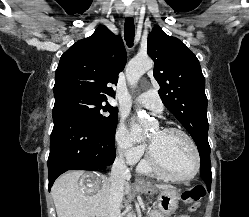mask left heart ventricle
Instances as JSON below:
<instances>
[{"label": "left heart ventricle", "mask_w": 249, "mask_h": 217, "mask_svg": "<svg viewBox=\"0 0 249 217\" xmlns=\"http://www.w3.org/2000/svg\"><path fill=\"white\" fill-rule=\"evenodd\" d=\"M150 141L156 158L168 172L186 176L193 171L194 152L183 136L156 130L151 134Z\"/></svg>", "instance_id": "1"}]
</instances>
